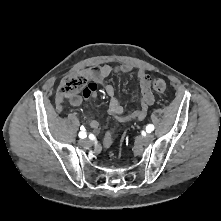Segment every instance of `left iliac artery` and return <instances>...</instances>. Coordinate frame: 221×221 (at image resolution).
<instances>
[{
    "instance_id": "left-iliac-artery-1",
    "label": "left iliac artery",
    "mask_w": 221,
    "mask_h": 221,
    "mask_svg": "<svg viewBox=\"0 0 221 221\" xmlns=\"http://www.w3.org/2000/svg\"><path fill=\"white\" fill-rule=\"evenodd\" d=\"M153 130H154V125L148 124V125L146 126V131H147L148 133H151Z\"/></svg>"
}]
</instances>
